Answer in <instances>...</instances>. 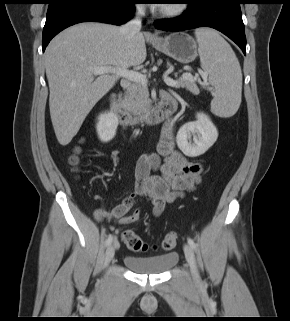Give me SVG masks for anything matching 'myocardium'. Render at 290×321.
<instances>
[{"label":"myocardium","instance_id":"obj_1","mask_svg":"<svg viewBox=\"0 0 290 321\" xmlns=\"http://www.w3.org/2000/svg\"><path fill=\"white\" fill-rule=\"evenodd\" d=\"M187 9L184 0H178L174 3L164 4L156 10V14L163 18H174L183 14Z\"/></svg>","mask_w":290,"mask_h":321}]
</instances>
